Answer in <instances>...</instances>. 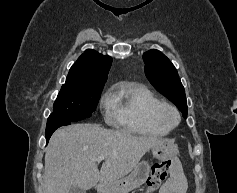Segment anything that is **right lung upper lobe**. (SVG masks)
I'll list each match as a JSON object with an SVG mask.
<instances>
[{"instance_id":"cb5924a9","label":"right lung upper lobe","mask_w":237,"mask_h":193,"mask_svg":"<svg viewBox=\"0 0 237 193\" xmlns=\"http://www.w3.org/2000/svg\"><path fill=\"white\" fill-rule=\"evenodd\" d=\"M111 63L110 56L87 49L70 68L65 84L103 87Z\"/></svg>"}]
</instances>
